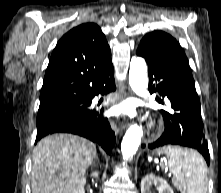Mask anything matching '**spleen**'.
<instances>
[{"label": "spleen", "instance_id": "obj_1", "mask_svg": "<svg viewBox=\"0 0 221 193\" xmlns=\"http://www.w3.org/2000/svg\"><path fill=\"white\" fill-rule=\"evenodd\" d=\"M172 183L181 193H207V166L203 157L190 146H163Z\"/></svg>", "mask_w": 221, "mask_h": 193}]
</instances>
